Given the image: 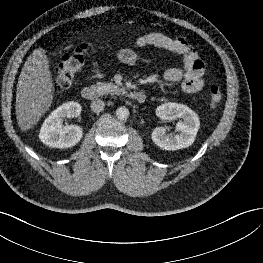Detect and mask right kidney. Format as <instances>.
<instances>
[{"label":"right kidney","instance_id":"obj_1","mask_svg":"<svg viewBox=\"0 0 263 263\" xmlns=\"http://www.w3.org/2000/svg\"><path fill=\"white\" fill-rule=\"evenodd\" d=\"M78 102H68L59 106L44 121L39 139L47 146L66 149L75 146L83 137V130L77 125H63L65 117H78L81 113Z\"/></svg>","mask_w":263,"mask_h":263}]
</instances>
